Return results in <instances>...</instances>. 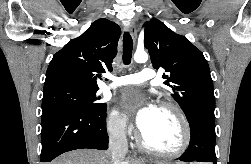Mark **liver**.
I'll return each instance as SVG.
<instances>
[{
  "label": "liver",
  "mask_w": 251,
  "mask_h": 164,
  "mask_svg": "<svg viewBox=\"0 0 251 164\" xmlns=\"http://www.w3.org/2000/svg\"><path fill=\"white\" fill-rule=\"evenodd\" d=\"M177 164H184L176 162ZM51 164H112L110 151L81 149L63 154ZM124 164H138V161L128 158Z\"/></svg>",
  "instance_id": "obj_1"
}]
</instances>
